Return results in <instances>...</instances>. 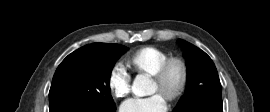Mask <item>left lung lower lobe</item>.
Masks as SVG:
<instances>
[{
    "label": "left lung lower lobe",
    "instance_id": "obj_1",
    "mask_svg": "<svg viewBox=\"0 0 270 112\" xmlns=\"http://www.w3.org/2000/svg\"><path fill=\"white\" fill-rule=\"evenodd\" d=\"M181 112H223V107H217L212 105H194L190 109Z\"/></svg>",
    "mask_w": 270,
    "mask_h": 112
}]
</instances>
